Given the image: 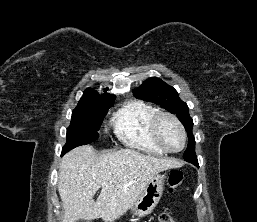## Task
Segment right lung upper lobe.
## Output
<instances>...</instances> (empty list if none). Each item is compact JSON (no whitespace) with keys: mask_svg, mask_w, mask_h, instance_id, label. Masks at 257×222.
Wrapping results in <instances>:
<instances>
[{"mask_svg":"<svg viewBox=\"0 0 257 222\" xmlns=\"http://www.w3.org/2000/svg\"><path fill=\"white\" fill-rule=\"evenodd\" d=\"M114 99H115L114 95H110V94L99 95L95 90L88 88L84 91V94L78 104L94 103V102L109 103V102H112Z\"/></svg>","mask_w":257,"mask_h":222,"instance_id":"cb5924a9","label":"right lung upper lobe"}]
</instances>
